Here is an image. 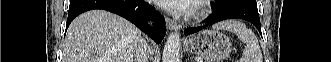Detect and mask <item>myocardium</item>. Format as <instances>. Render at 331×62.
Here are the masks:
<instances>
[{
	"label": "myocardium",
	"mask_w": 331,
	"mask_h": 62,
	"mask_svg": "<svg viewBox=\"0 0 331 62\" xmlns=\"http://www.w3.org/2000/svg\"><path fill=\"white\" fill-rule=\"evenodd\" d=\"M210 13V8L207 5V1H195L193 6L192 16L194 18H204Z\"/></svg>",
	"instance_id": "myocardium-1"
}]
</instances>
